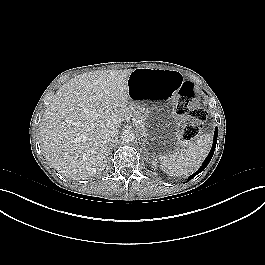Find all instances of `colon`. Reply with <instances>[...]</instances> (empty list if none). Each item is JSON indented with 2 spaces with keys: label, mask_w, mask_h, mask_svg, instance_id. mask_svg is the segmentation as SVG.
<instances>
[{
  "label": "colon",
  "mask_w": 265,
  "mask_h": 265,
  "mask_svg": "<svg viewBox=\"0 0 265 265\" xmlns=\"http://www.w3.org/2000/svg\"><path fill=\"white\" fill-rule=\"evenodd\" d=\"M176 112L180 116L187 117L182 124V137L186 140H193L200 133L207 114L198 105L196 91L189 82L183 83L180 88Z\"/></svg>",
  "instance_id": "colon-1"
}]
</instances>
